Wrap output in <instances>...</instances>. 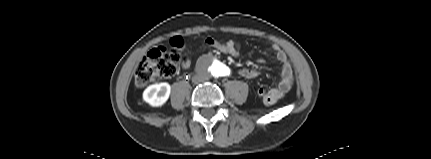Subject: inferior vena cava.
Returning a JSON list of instances; mask_svg holds the SVG:
<instances>
[{
	"label": "inferior vena cava",
	"instance_id": "obj_1",
	"mask_svg": "<svg viewBox=\"0 0 431 159\" xmlns=\"http://www.w3.org/2000/svg\"><path fill=\"white\" fill-rule=\"evenodd\" d=\"M207 80V75L205 74H196L192 77V82L194 83H201Z\"/></svg>",
	"mask_w": 431,
	"mask_h": 159
}]
</instances>
